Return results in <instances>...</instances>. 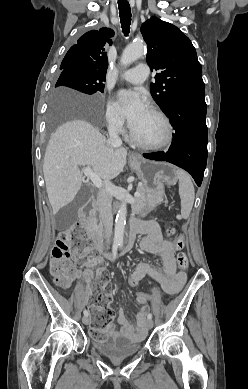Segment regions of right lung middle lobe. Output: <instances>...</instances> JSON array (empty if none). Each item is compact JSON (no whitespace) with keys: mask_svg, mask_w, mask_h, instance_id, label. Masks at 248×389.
<instances>
[{"mask_svg":"<svg viewBox=\"0 0 248 389\" xmlns=\"http://www.w3.org/2000/svg\"><path fill=\"white\" fill-rule=\"evenodd\" d=\"M63 69L55 87L67 86L83 92L85 94L103 93L104 92V77H100L92 72L77 68H60ZM74 108L91 118L95 117L98 110L93 103L76 104Z\"/></svg>","mask_w":248,"mask_h":389,"instance_id":"right-lung-middle-lobe-1","label":"right lung middle lobe"}]
</instances>
